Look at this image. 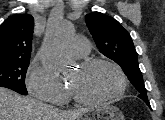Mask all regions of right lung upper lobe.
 Returning a JSON list of instances; mask_svg holds the SVG:
<instances>
[{"label":"right lung upper lobe","instance_id":"right-lung-upper-lobe-1","mask_svg":"<svg viewBox=\"0 0 165 120\" xmlns=\"http://www.w3.org/2000/svg\"><path fill=\"white\" fill-rule=\"evenodd\" d=\"M34 19L17 14L0 26V58L30 59Z\"/></svg>","mask_w":165,"mask_h":120}]
</instances>
